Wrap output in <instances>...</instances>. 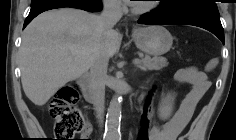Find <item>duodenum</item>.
I'll return each mask as SVG.
<instances>
[{"instance_id":"1","label":"duodenum","mask_w":236,"mask_h":140,"mask_svg":"<svg viewBox=\"0 0 236 140\" xmlns=\"http://www.w3.org/2000/svg\"><path fill=\"white\" fill-rule=\"evenodd\" d=\"M78 84L86 102L93 103L96 101V94L91 84V77L88 74L81 75L78 78Z\"/></svg>"}]
</instances>
